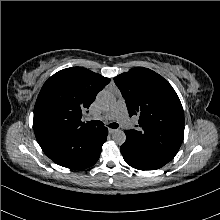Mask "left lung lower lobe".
<instances>
[{"mask_svg":"<svg viewBox=\"0 0 220 220\" xmlns=\"http://www.w3.org/2000/svg\"><path fill=\"white\" fill-rule=\"evenodd\" d=\"M120 150L124 160L131 167L138 170H156L174 158L146 144L135 141L128 135H126V141L120 147Z\"/></svg>","mask_w":220,"mask_h":220,"instance_id":"0a47b994","label":"left lung lower lobe"}]
</instances>
